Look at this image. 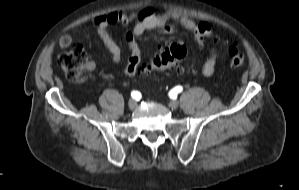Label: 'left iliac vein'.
<instances>
[{
  "instance_id": "4c4485c4",
  "label": "left iliac vein",
  "mask_w": 299,
  "mask_h": 190,
  "mask_svg": "<svg viewBox=\"0 0 299 190\" xmlns=\"http://www.w3.org/2000/svg\"><path fill=\"white\" fill-rule=\"evenodd\" d=\"M168 106H169L171 109H177L178 106H179V104H178L177 101L172 100V101H170V102L168 103Z\"/></svg>"
}]
</instances>
